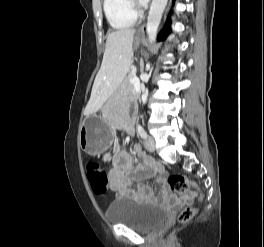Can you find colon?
Returning a JSON list of instances; mask_svg holds the SVG:
<instances>
[{
	"mask_svg": "<svg viewBox=\"0 0 264 247\" xmlns=\"http://www.w3.org/2000/svg\"><path fill=\"white\" fill-rule=\"evenodd\" d=\"M86 174L94 193L97 196H105L109 183V177L106 171L99 164L90 162L86 165ZM168 186L173 192L184 196V201L187 203V206L181 210L178 219L181 223L188 222L195 214V208L190 203L194 198L202 202L204 198L203 194L199 191V187L194 181L187 179L181 174L171 175L168 178ZM190 188L193 189L192 192L189 191Z\"/></svg>",
	"mask_w": 264,
	"mask_h": 247,
	"instance_id": "colon-1",
	"label": "colon"
}]
</instances>
